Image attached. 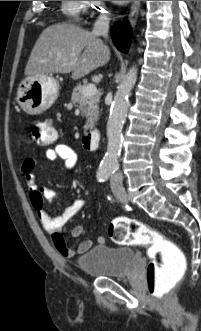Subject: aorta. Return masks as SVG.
I'll list each match as a JSON object with an SVG mask.
<instances>
[{
	"label": "aorta",
	"instance_id": "1",
	"mask_svg": "<svg viewBox=\"0 0 201 331\" xmlns=\"http://www.w3.org/2000/svg\"><path fill=\"white\" fill-rule=\"evenodd\" d=\"M137 79V68L133 66L127 72L124 81L115 94L107 122L108 145L106 154L99 166L98 177L106 178L118 168V159L122 147V127L129 107V94Z\"/></svg>",
	"mask_w": 201,
	"mask_h": 331
}]
</instances>
